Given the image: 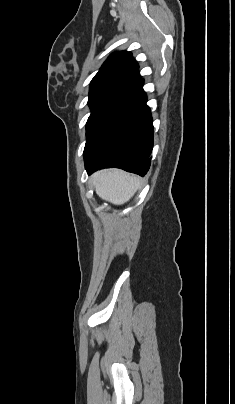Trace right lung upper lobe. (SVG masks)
<instances>
[{
    "mask_svg": "<svg viewBox=\"0 0 235 404\" xmlns=\"http://www.w3.org/2000/svg\"><path fill=\"white\" fill-rule=\"evenodd\" d=\"M141 79L138 65L127 51L110 56L91 81L90 87L104 84L131 85Z\"/></svg>",
    "mask_w": 235,
    "mask_h": 404,
    "instance_id": "right-lung-upper-lobe-1",
    "label": "right lung upper lobe"
}]
</instances>
